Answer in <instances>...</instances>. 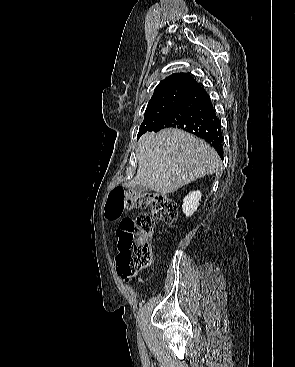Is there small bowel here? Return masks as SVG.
Segmentation results:
<instances>
[{"label":"small bowel","mask_w":295,"mask_h":367,"mask_svg":"<svg viewBox=\"0 0 295 367\" xmlns=\"http://www.w3.org/2000/svg\"><path fill=\"white\" fill-rule=\"evenodd\" d=\"M123 278H124V277H123ZM125 281H126V282H128V281H129V279L125 277Z\"/></svg>","instance_id":"small-bowel-1"}]
</instances>
